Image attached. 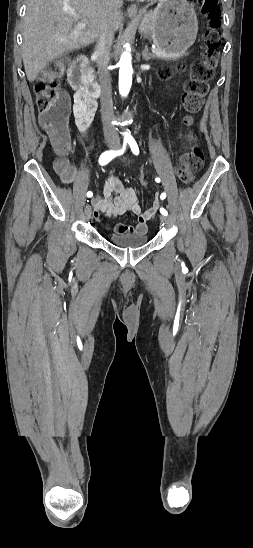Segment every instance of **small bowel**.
Here are the masks:
<instances>
[{"label":"small bowel","instance_id":"c3829d8e","mask_svg":"<svg viewBox=\"0 0 253 548\" xmlns=\"http://www.w3.org/2000/svg\"><path fill=\"white\" fill-rule=\"evenodd\" d=\"M97 102L78 93L74 96L73 115L75 124L80 132L89 130L95 113ZM62 180L66 184L74 182L76 172L73 167H69L66 173L61 174ZM91 204L94 208V218L100 222V215L108 217H118L127 212L137 216L135 226L118 223L114 231L116 233H145L147 222L156 213L157 204L149 210L142 209L139 197L133 188L128 187L122 180L113 174L108 175L102 187L101 194L92 198Z\"/></svg>","mask_w":253,"mask_h":548}]
</instances>
